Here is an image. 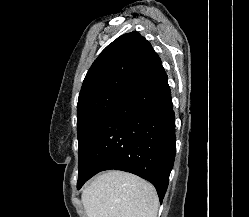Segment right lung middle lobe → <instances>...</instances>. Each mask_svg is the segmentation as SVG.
<instances>
[{"label": "right lung middle lobe", "mask_w": 249, "mask_h": 217, "mask_svg": "<svg viewBox=\"0 0 249 217\" xmlns=\"http://www.w3.org/2000/svg\"><path fill=\"white\" fill-rule=\"evenodd\" d=\"M124 93L121 91L105 92L78 105L77 133L79 164L94 132Z\"/></svg>", "instance_id": "1"}]
</instances>
